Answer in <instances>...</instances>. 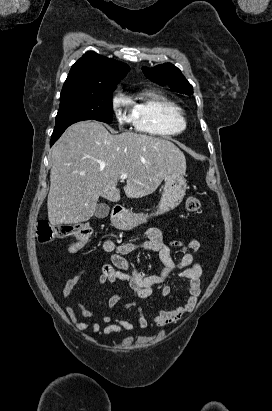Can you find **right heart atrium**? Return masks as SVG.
I'll return each mask as SVG.
<instances>
[{
	"mask_svg": "<svg viewBox=\"0 0 272 411\" xmlns=\"http://www.w3.org/2000/svg\"><path fill=\"white\" fill-rule=\"evenodd\" d=\"M130 104L126 96L118 92L112 99L111 110L118 123V125L123 126L132 121V113L130 109Z\"/></svg>",
	"mask_w": 272,
	"mask_h": 411,
	"instance_id": "d8ad5b80",
	"label": "right heart atrium"
}]
</instances>
